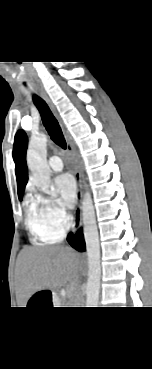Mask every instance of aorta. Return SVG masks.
I'll return each mask as SVG.
<instances>
[{
    "mask_svg": "<svg viewBox=\"0 0 152 369\" xmlns=\"http://www.w3.org/2000/svg\"><path fill=\"white\" fill-rule=\"evenodd\" d=\"M47 136L34 135L31 137L27 151L28 167L35 185L46 194H53L50 190L51 171L47 164ZM83 233L88 257V280L86 286V307H97L100 291L101 261L100 243L96 223L95 209L89 191L82 200Z\"/></svg>",
    "mask_w": 152,
    "mask_h": 369,
    "instance_id": "1",
    "label": "aorta"
}]
</instances>
